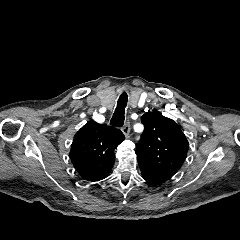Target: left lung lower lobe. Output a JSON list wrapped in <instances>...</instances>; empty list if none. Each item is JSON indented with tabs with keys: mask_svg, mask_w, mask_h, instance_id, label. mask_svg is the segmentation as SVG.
<instances>
[{
	"mask_svg": "<svg viewBox=\"0 0 240 240\" xmlns=\"http://www.w3.org/2000/svg\"><path fill=\"white\" fill-rule=\"evenodd\" d=\"M141 169V173H142V177L149 183L154 184V185H160L164 182H166L167 180H165L164 178L150 172L149 170L145 169V168H140Z\"/></svg>",
	"mask_w": 240,
	"mask_h": 240,
	"instance_id": "1",
	"label": "left lung lower lobe"
}]
</instances>
